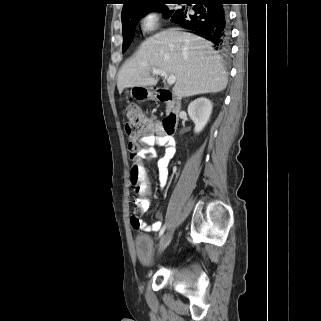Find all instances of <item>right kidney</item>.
<instances>
[{
	"label": "right kidney",
	"instance_id": "obj_1",
	"mask_svg": "<svg viewBox=\"0 0 321 321\" xmlns=\"http://www.w3.org/2000/svg\"><path fill=\"white\" fill-rule=\"evenodd\" d=\"M212 108V102L205 97L197 98L189 104L188 114L195 123L194 132L196 134L200 133L208 123Z\"/></svg>",
	"mask_w": 321,
	"mask_h": 321
}]
</instances>
